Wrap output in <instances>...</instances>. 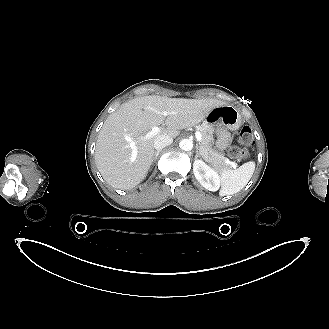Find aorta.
Wrapping results in <instances>:
<instances>
[{"label": "aorta", "instance_id": "obj_1", "mask_svg": "<svg viewBox=\"0 0 329 329\" xmlns=\"http://www.w3.org/2000/svg\"><path fill=\"white\" fill-rule=\"evenodd\" d=\"M179 147L184 151H190L193 148V141L190 139H183L180 141Z\"/></svg>", "mask_w": 329, "mask_h": 329}]
</instances>
